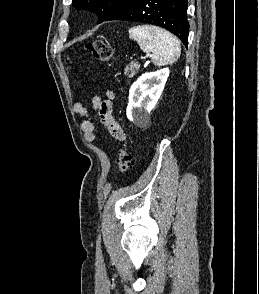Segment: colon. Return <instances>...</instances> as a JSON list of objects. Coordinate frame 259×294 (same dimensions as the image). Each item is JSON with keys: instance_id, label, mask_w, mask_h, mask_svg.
Wrapping results in <instances>:
<instances>
[{"instance_id": "1", "label": "colon", "mask_w": 259, "mask_h": 294, "mask_svg": "<svg viewBox=\"0 0 259 294\" xmlns=\"http://www.w3.org/2000/svg\"><path fill=\"white\" fill-rule=\"evenodd\" d=\"M87 49L93 57L99 61H108L112 57L111 46L102 40H92L87 43ZM133 156L129 148L123 147L120 149L118 164L120 171L126 173L132 166Z\"/></svg>"}]
</instances>
